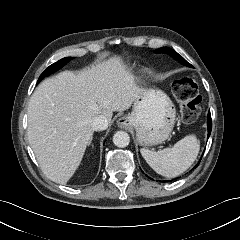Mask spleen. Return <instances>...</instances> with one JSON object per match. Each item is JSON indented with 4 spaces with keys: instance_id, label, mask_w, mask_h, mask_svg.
Listing matches in <instances>:
<instances>
[{
    "instance_id": "3e777b00",
    "label": "spleen",
    "mask_w": 240,
    "mask_h": 240,
    "mask_svg": "<svg viewBox=\"0 0 240 240\" xmlns=\"http://www.w3.org/2000/svg\"><path fill=\"white\" fill-rule=\"evenodd\" d=\"M200 143L195 135H188L178 141L172 148L153 151L140 150L148 165L158 174L172 178L186 171L196 160Z\"/></svg>"
}]
</instances>
